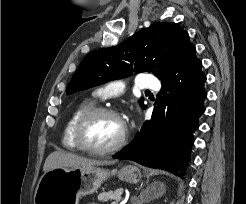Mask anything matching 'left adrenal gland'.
<instances>
[{
    "mask_svg": "<svg viewBox=\"0 0 246 204\" xmlns=\"http://www.w3.org/2000/svg\"><path fill=\"white\" fill-rule=\"evenodd\" d=\"M148 196H147V192L146 191H142L141 193H140V201L138 202V203H136L135 201H136V199H135V197L134 198H132V204H143L144 202H146V201H148V198H147Z\"/></svg>",
    "mask_w": 246,
    "mask_h": 204,
    "instance_id": "a2214340",
    "label": "left adrenal gland"
}]
</instances>
